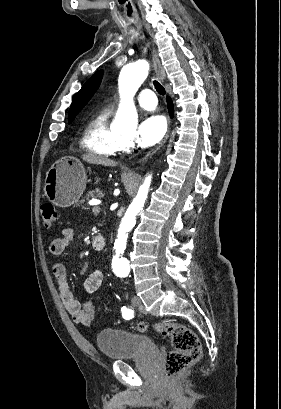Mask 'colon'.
<instances>
[{
  "mask_svg": "<svg viewBox=\"0 0 281 409\" xmlns=\"http://www.w3.org/2000/svg\"><path fill=\"white\" fill-rule=\"evenodd\" d=\"M41 216L44 227L50 228L57 224L58 214L51 203L42 204ZM137 327L149 329L170 338L173 350L164 358L163 368L166 373L176 374L200 358L198 337L189 327L161 322L138 323Z\"/></svg>",
  "mask_w": 281,
  "mask_h": 409,
  "instance_id": "obj_1",
  "label": "colon"
}]
</instances>
